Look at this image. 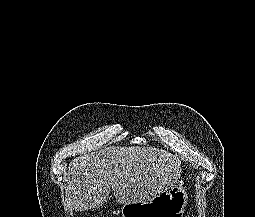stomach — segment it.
Masks as SVG:
<instances>
[{
    "label": "stomach",
    "instance_id": "1",
    "mask_svg": "<svg viewBox=\"0 0 255 217\" xmlns=\"http://www.w3.org/2000/svg\"><path fill=\"white\" fill-rule=\"evenodd\" d=\"M187 191L174 185L145 202L124 204L122 217H182L187 204Z\"/></svg>",
    "mask_w": 255,
    "mask_h": 217
}]
</instances>
